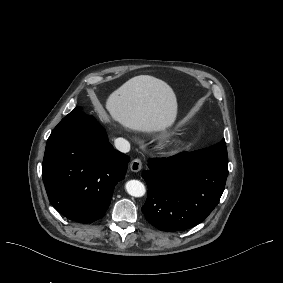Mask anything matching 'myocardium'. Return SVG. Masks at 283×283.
I'll return each instance as SVG.
<instances>
[{
	"instance_id": "f54148a6",
	"label": "myocardium",
	"mask_w": 283,
	"mask_h": 283,
	"mask_svg": "<svg viewBox=\"0 0 283 283\" xmlns=\"http://www.w3.org/2000/svg\"><path fill=\"white\" fill-rule=\"evenodd\" d=\"M165 146H166V148H165L166 150L164 152V155L175 156L178 153V151H177L178 145L176 143H174L172 141H167L165 143Z\"/></svg>"
}]
</instances>
